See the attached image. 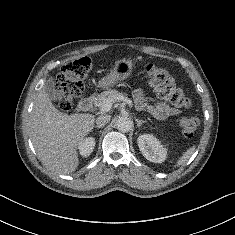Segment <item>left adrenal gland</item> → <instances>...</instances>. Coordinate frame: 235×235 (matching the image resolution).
Here are the masks:
<instances>
[{
    "instance_id": "left-adrenal-gland-1",
    "label": "left adrenal gland",
    "mask_w": 235,
    "mask_h": 235,
    "mask_svg": "<svg viewBox=\"0 0 235 235\" xmlns=\"http://www.w3.org/2000/svg\"><path fill=\"white\" fill-rule=\"evenodd\" d=\"M135 121L137 122V127H140L143 123H145L144 120H139L137 118H135Z\"/></svg>"
}]
</instances>
